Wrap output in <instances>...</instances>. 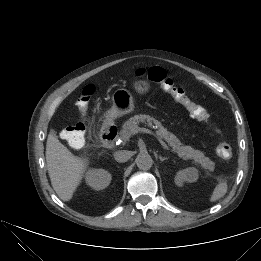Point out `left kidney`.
Here are the masks:
<instances>
[{
    "mask_svg": "<svg viewBox=\"0 0 261 261\" xmlns=\"http://www.w3.org/2000/svg\"><path fill=\"white\" fill-rule=\"evenodd\" d=\"M198 176V170L194 167L181 170L175 176V184L182 186L185 181L195 182L198 179Z\"/></svg>",
    "mask_w": 261,
    "mask_h": 261,
    "instance_id": "obj_1",
    "label": "left kidney"
}]
</instances>
